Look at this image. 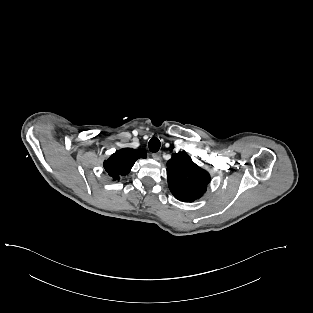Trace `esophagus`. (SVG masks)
<instances>
[{"label":"esophagus","instance_id":"obj_1","mask_svg":"<svg viewBox=\"0 0 313 313\" xmlns=\"http://www.w3.org/2000/svg\"><path fill=\"white\" fill-rule=\"evenodd\" d=\"M152 157L154 160L159 161L161 159V153L157 152V153H153Z\"/></svg>","mask_w":313,"mask_h":313}]
</instances>
